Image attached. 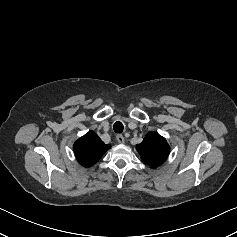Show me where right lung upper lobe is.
<instances>
[{
	"mask_svg": "<svg viewBox=\"0 0 237 237\" xmlns=\"http://www.w3.org/2000/svg\"><path fill=\"white\" fill-rule=\"evenodd\" d=\"M109 148L110 145L101 141L93 131L79 138L73 146L78 162L84 167L95 164Z\"/></svg>",
	"mask_w": 237,
	"mask_h": 237,
	"instance_id": "obj_1",
	"label": "right lung upper lobe"
}]
</instances>
